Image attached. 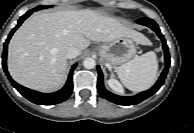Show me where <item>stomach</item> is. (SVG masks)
I'll return each instance as SVG.
<instances>
[{
  "instance_id": "0dacf381",
  "label": "stomach",
  "mask_w": 194,
  "mask_h": 133,
  "mask_svg": "<svg viewBox=\"0 0 194 133\" xmlns=\"http://www.w3.org/2000/svg\"><path fill=\"white\" fill-rule=\"evenodd\" d=\"M102 60L109 66L116 67L129 61L136 54V46L130 37H120L98 46Z\"/></svg>"
}]
</instances>
